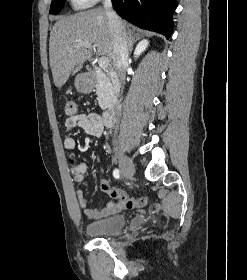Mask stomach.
Here are the masks:
<instances>
[{
    "label": "stomach",
    "mask_w": 247,
    "mask_h": 280,
    "mask_svg": "<svg viewBox=\"0 0 247 280\" xmlns=\"http://www.w3.org/2000/svg\"><path fill=\"white\" fill-rule=\"evenodd\" d=\"M75 87L81 93H87L92 89L90 81L82 75L76 77Z\"/></svg>",
    "instance_id": "0dacf381"
}]
</instances>
